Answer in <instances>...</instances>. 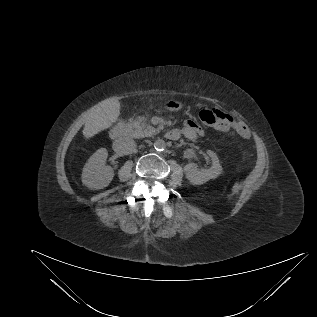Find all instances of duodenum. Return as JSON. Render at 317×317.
Listing matches in <instances>:
<instances>
[{
	"mask_svg": "<svg viewBox=\"0 0 317 317\" xmlns=\"http://www.w3.org/2000/svg\"><path fill=\"white\" fill-rule=\"evenodd\" d=\"M128 135V127L125 121L117 123L111 130L110 136L113 140L124 138ZM166 137L169 140L177 139V131L170 130L166 133Z\"/></svg>",
	"mask_w": 317,
	"mask_h": 317,
	"instance_id": "obj_1",
	"label": "duodenum"
}]
</instances>
